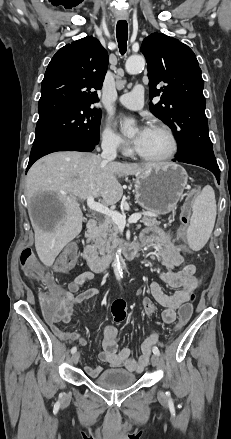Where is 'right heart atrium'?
Returning a JSON list of instances; mask_svg holds the SVG:
<instances>
[{
  "instance_id": "1",
  "label": "right heart atrium",
  "mask_w": 231,
  "mask_h": 439,
  "mask_svg": "<svg viewBox=\"0 0 231 439\" xmlns=\"http://www.w3.org/2000/svg\"><path fill=\"white\" fill-rule=\"evenodd\" d=\"M102 145L104 148L113 151H123L126 152L127 148L123 139L114 130L110 123L105 124L101 132Z\"/></svg>"
}]
</instances>
